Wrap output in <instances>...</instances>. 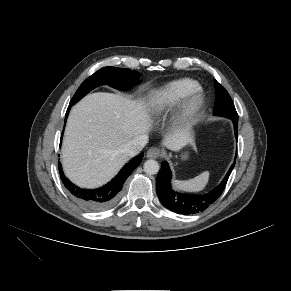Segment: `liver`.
I'll return each instance as SVG.
<instances>
[{
    "instance_id": "6515ba94",
    "label": "liver",
    "mask_w": 291,
    "mask_h": 291,
    "mask_svg": "<svg viewBox=\"0 0 291 291\" xmlns=\"http://www.w3.org/2000/svg\"><path fill=\"white\" fill-rule=\"evenodd\" d=\"M151 128L142 101L105 92L87 95L72 108L67 120L61 156L66 175L86 188L108 182L129 159L123 146L147 135ZM191 143L187 128L174 130L163 140L172 151Z\"/></svg>"
}]
</instances>
